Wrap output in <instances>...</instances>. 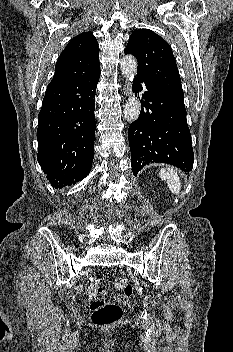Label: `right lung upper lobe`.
Masks as SVG:
<instances>
[{
	"label": "right lung upper lobe",
	"instance_id": "obj_1",
	"mask_svg": "<svg viewBox=\"0 0 233 352\" xmlns=\"http://www.w3.org/2000/svg\"><path fill=\"white\" fill-rule=\"evenodd\" d=\"M100 70L98 43L92 32L74 37L60 54L47 89L58 88Z\"/></svg>",
	"mask_w": 233,
	"mask_h": 352
}]
</instances>
